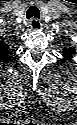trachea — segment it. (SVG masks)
<instances>
[{"mask_svg":"<svg viewBox=\"0 0 77 125\" xmlns=\"http://www.w3.org/2000/svg\"><path fill=\"white\" fill-rule=\"evenodd\" d=\"M26 16L28 19H30L31 17L39 18L40 12L38 8L33 5V6H30L29 9L27 10Z\"/></svg>","mask_w":77,"mask_h":125,"instance_id":"trachea-1","label":"trachea"}]
</instances>
